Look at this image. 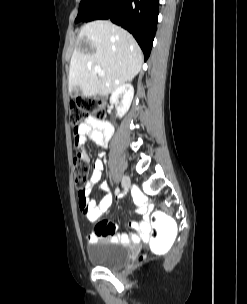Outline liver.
I'll use <instances>...</instances> for the list:
<instances>
[{
    "instance_id": "liver-1",
    "label": "liver",
    "mask_w": 247,
    "mask_h": 304,
    "mask_svg": "<svg viewBox=\"0 0 247 304\" xmlns=\"http://www.w3.org/2000/svg\"><path fill=\"white\" fill-rule=\"evenodd\" d=\"M143 53L134 37L110 21L84 25L70 61L69 93L78 87L82 96H106L132 81L141 70ZM100 66L104 76L94 71Z\"/></svg>"
}]
</instances>
